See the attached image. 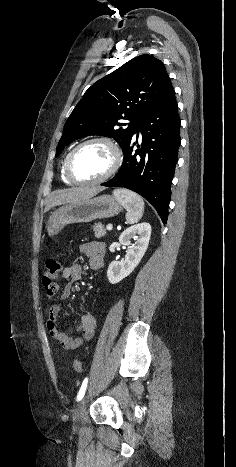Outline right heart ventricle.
<instances>
[{
  "instance_id": "right-heart-ventricle-1",
  "label": "right heart ventricle",
  "mask_w": 236,
  "mask_h": 467,
  "mask_svg": "<svg viewBox=\"0 0 236 467\" xmlns=\"http://www.w3.org/2000/svg\"><path fill=\"white\" fill-rule=\"evenodd\" d=\"M68 155H69V153L66 154V156L64 157V159H63V161H62V163H61L60 175H61V179H62V181H63L64 183L71 185V184H73V183H72L71 181H69V180L67 179L66 175H65V164H66V160H67V158H68Z\"/></svg>"
}]
</instances>
